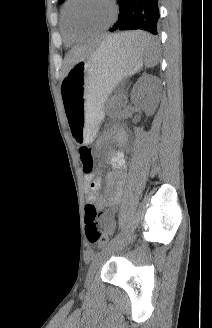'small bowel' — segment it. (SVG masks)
<instances>
[{
	"instance_id": "1",
	"label": "small bowel",
	"mask_w": 212,
	"mask_h": 328,
	"mask_svg": "<svg viewBox=\"0 0 212 328\" xmlns=\"http://www.w3.org/2000/svg\"><path fill=\"white\" fill-rule=\"evenodd\" d=\"M108 163L114 171L107 176V183L110 189L105 195H98L101 188V181L94 176L93 172L84 173V179L89 192L88 201L95 204L99 209H105L101 215L100 223L107 234H111L115 227L116 212L120 204L125 181L126 158L124 153H110Z\"/></svg>"
}]
</instances>
